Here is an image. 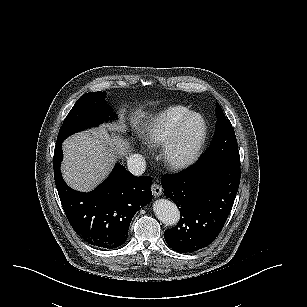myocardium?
Returning <instances> with one entry per match:
<instances>
[{"label": "myocardium", "instance_id": "obj_1", "mask_svg": "<svg viewBox=\"0 0 307 307\" xmlns=\"http://www.w3.org/2000/svg\"><path fill=\"white\" fill-rule=\"evenodd\" d=\"M165 141L155 151L164 160L165 171L185 167L200 153L206 139V124L196 109L188 110L175 120Z\"/></svg>", "mask_w": 307, "mask_h": 307}]
</instances>
